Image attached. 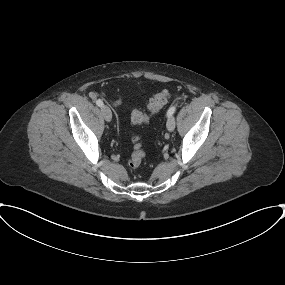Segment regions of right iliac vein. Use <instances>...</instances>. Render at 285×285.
Instances as JSON below:
<instances>
[{
  "instance_id": "right-iliac-vein-1",
  "label": "right iliac vein",
  "mask_w": 285,
  "mask_h": 285,
  "mask_svg": "<svg viewBox=\"0 0 285 285\" xmlns=\"http://www.w3.org/2000/svg\"><path fill=\"white\" fill-rule=\"evenodd\" d=\"M102 115L107 122H110L112 119V113L109 107L103 105L101 108Z\"/></svg>"
}]
</instances>
